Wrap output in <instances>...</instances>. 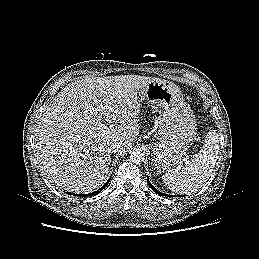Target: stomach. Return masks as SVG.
Instances as JSON below:
<instances>
[{
    "instance_id": "0dacf381",
    "label": "stomach",
    "mask_w": 259,
    "mask_h": 259,
    "mask_svg": "<svg viewBox=\"0 0 259 259\" xmlns=\"http://www.w3.org/2000/svg\"><path fill=\"white\" fill-rule=\"evenodd\" d=\"M158 112L159 142L150 144L153 166L169 170L181 163L196 135V120L184 103L180 88L173 82L154 79L139 93Z\"/></svg>"
}]
</instances>
